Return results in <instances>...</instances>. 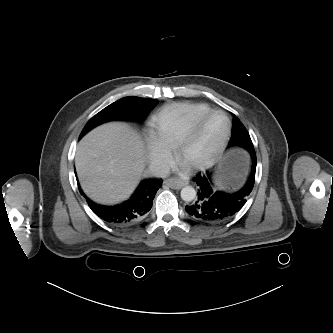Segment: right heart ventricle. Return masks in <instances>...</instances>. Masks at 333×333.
<instances>
[{
	"label": "right heart ventricle",
	"mask_w": 333,
	"mask_h": 333,
	"mask_svg": "<svg viewBox=\"0 0 333 333\" xmlns=\"http://www.w3.org/2000/svg\"><path fill=\"white\" fill-rule=\"evenodd\" d=\"M212 108L200 102H179L161 108L152 118V134L170 150L186 133L190 125Z\"/></svg>",
	"instance_id": "obj_1"
}]
</instances>
